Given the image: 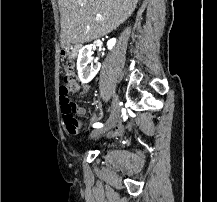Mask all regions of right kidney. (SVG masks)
I'll return each instance as SVG.
<instances>
[{"instance_id":"right-kidney-1","label":"right kidney","mask_w":217,"mask_h":202,"mask_svg":"<svg viewBox=\"0 0 217 202\" xmlns=\"http://www.w3.org/2000/svg\"><path fill=\"white\" fill-rule=\"evenodd\" d=\"M115 44V38H111V40H108V50H112ZM92 54L93 52L91 46H84V48H81L79 52L77 60V70L78 78L80 82H82V84H88V82H91V80H93V78H95L96 74H98L99 72V66H97V68H94V66H89V64L93 62Z\"/></svg>"}]
</instances>
